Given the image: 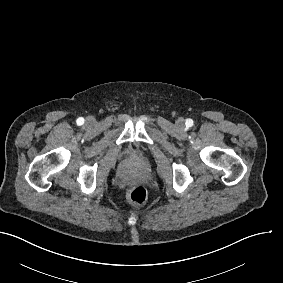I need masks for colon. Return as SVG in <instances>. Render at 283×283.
<instances>
[{
	"mask_svg": "<svg viewBox=\"0 0 283 283\" xmlns=\"http://www.w3.org/2000/svg\"><path fill=\"white\" fill-rule=\"evenodd\" d=\"M147 191L143 186H135L128 192V199L131 204L141 205L147 200Z\"/></svg>",
	"mask_w": 283,
	"mask_h": 283,
	"instance_id": "1",
	"label": "colon"
}]
</instances>
